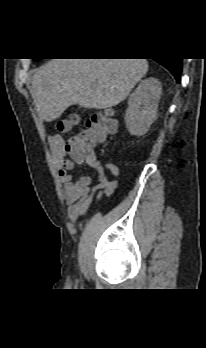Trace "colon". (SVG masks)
<instances>
[{"label":"colon","instance_id":"obj_1","mask_svg":"<svg viewBox=\"0 0 206 348\" xmlns=\"http://www.w3.org/2000/svg\"><path fill=\"white\" fill-rule=\"evenodd\" d=\"M76 122V116L60 121L59 132L68 131ZM115 128L116 123L111 112L105 110L88 120L79 133L70 136L61 144V148L73 160H84L89 156L92 147L105 142L114 133Z\"/></svg>","mask_w":206,"mask_h":348}]
</instances>
